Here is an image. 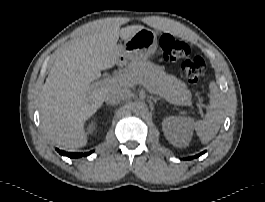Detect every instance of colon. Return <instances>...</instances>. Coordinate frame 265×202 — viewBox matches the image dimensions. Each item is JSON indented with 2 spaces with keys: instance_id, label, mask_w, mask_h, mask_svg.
I'll use <instances>...</instances> for the list:
<instances>
[{
  "instance_id": "1",
  "label": "colon",
  "mask_w": 265,
  "mask_h": 202,
  "mask_svg": "<svg viewBox=\"0 0 265 202\" xmlns=\"http://www.w3.org/2000/svg\"><path fill=\"white\" fill-rule=\"evenodd\" d=\"M160 47L163 59L168 62H178L180 70L189 83H197L206 71L205 60L200 56L189 57V46L169 33L161 36Z\"/></svg>"
}]
</instances>
